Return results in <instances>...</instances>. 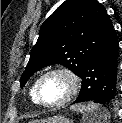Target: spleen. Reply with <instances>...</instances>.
I'll use <instances>...</instances> for the list:
<instances>
[{
	"instance_id": "3e777b00",
	"label": "spleen",
	"mask_w": 122,
	"mask_h": 123,
	"mask_svg": "<svg viewBox=\"0 0 122 123\" xmlns=\"http://www.w3.org/2000/svg\"><path fill=\"white\" fill-rule=\"evenodd\" d=\"M73 109L83 114L86 123H109L108 111L93 102L78 104Z\"/></svg>"
}]
</instances>
